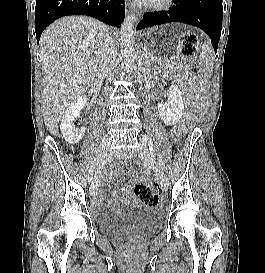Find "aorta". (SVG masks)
I'll return each instance as SVG.
<instances>
[{
    "label": "aorta",
    "mask_w": 265,
    "mask_h": 273,
    "mask_svg": "<svg viewBox=\"0 0 265 273\" xmlns=\"http://www.w3.org/2000/svg\"><path fill=\"white\" fill-rule=\"evenodd\" d=\"M135 14L127 16L121 25V54L124 57L126 73H132L135 68L136 51L134 42Z\"/></svg>",
    "instance_id": "obj_1"
}]
</instances>
